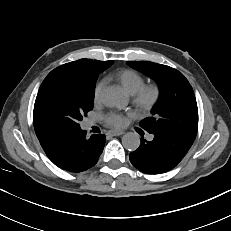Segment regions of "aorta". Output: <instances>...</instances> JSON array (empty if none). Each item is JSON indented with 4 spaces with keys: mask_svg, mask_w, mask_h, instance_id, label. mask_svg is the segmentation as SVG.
I'll return each mask as SVG.
<instances>
[{
    "mask_svg": "<svg viewBox=\"0 0 231 231\" xmlns=\"http://www.w3.org/2000/svg\"><path fill=\"white\" fill-rule=\"evenodd\" d=\"M102 102L108 107L122 108L127 100L121 91L115 87H108L101 94ZM122 144L125 149L135 151L140 146V138L137 133L128 132L122 137Z\"/></svg>",
    "mask_w": 231,
    "mask_h": 231,
    "instance_id": "obj_1",
    "label": "aorta"
}]
</instances>
